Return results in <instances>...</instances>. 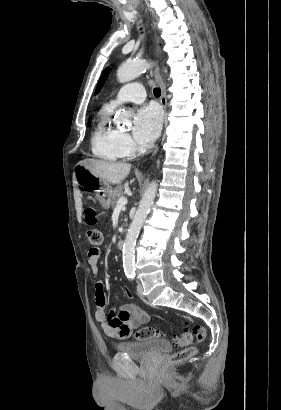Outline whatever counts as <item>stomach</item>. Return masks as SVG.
Masks as SVG:
<instances>
[{"label": "stomach", "mask_w": 281, "mask_h": 410, "mask_svg": "<svg viewBox=\"0 0 281 410\" xmlns=\"http://www.w3.org/2000/svg\"><path fill=\"white\" fill-rule=\"evenodd\" d=\"M73 176L79 187L96 193L103 208L108 209L110 207L112 189L110 183L105 178L94 174L81 162L75 165Z\"/></svg>", "instance_id": "1"}]
</instances>
